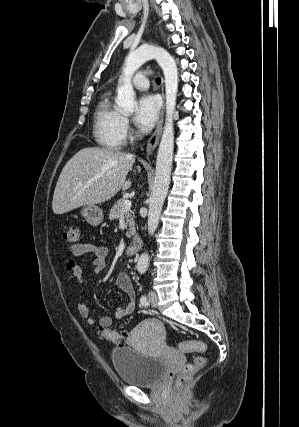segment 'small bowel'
<instances>
[{"instance_id":"1","label":"small bowel","mask_w":299,"mask_h":427,"mask_svg":"<svg viewBox=\"0 0 299 427\" xmlns=\"http://www.w3.org/2000/svg\"><path fill=\"white\" fill-rule=\"evenodd\" d=\"M69 253L71 257H80L84 255L92 256V272L101 273L106 267V259L108 256V250L106 247L96 244V243H81L78 245L71 246L69 248ZM64 269L67 274L76 279L78 284L84 282L82 275V270L80 266L75 263L72 259H68L64 263ZM117 285L126 293L128 297L127 303L119 307L114 312V318L119 320L127 315L131 314L135 309V290L133 283L126 272H121L116 277ZM78 312L82 318L86 320L89 325L98 324L99 327L107 328L112 323V318L106 315L100 316L96 319L92 316L88 301H82L78 305Z\"/></svg>"}]
</instances>
